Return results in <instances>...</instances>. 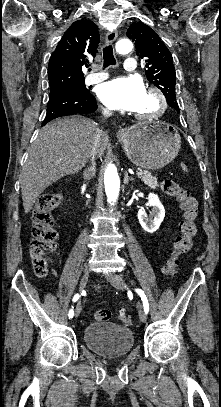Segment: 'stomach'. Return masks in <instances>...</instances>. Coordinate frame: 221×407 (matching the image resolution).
I'll list each match as a JSON object with an SVG mask.
<instances>
[{
	"instance_id": "1",
	"label": "stomach",
	"mask_w": 221,
	"mask_h": 407,
	"mask_svg": "<svg viewBox=\"0 0 221 407\" xmlns=\"http://www.w3.org/2000/svg\"><path fill=\"white\" fill-rule=\"evenodd\" d=\"M126 155L132 163L147 170H158L178 154L181 137L168 123H138L119 136Z\"/></svg>"
}]
</instances>
